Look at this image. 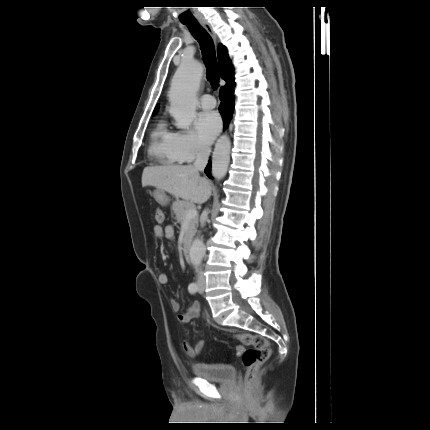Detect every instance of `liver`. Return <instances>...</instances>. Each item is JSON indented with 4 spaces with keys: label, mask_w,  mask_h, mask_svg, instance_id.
Returning a JSON list of instances; mask_svg holds the SVG:
<instances>
[{
    "label": "liver",
    "mask_w": 430,
    "mask_h": 430,
    "mask_svg": "<svg viewBox=\"0 0 430 430\" xmlns=\"http://www.w3.org/2000/svg\"><path fill=\"white\" fill-rule=\"evenodd\" d=\"M154 186L186 202L202 204L211 196V182L202 178L191 165H164L145 167L142 186Z\"/></svg>",
    "instance_id": "6515ba94"
}]
</instances>
